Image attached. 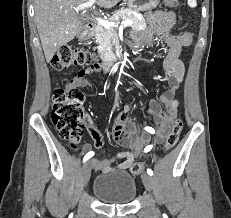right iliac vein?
Returning <instances> with one entry per match:
<instances>
[{"label":"right iliac vein","mask_w":231,"mask_h":218,"mask_svg":"<svg viewBox=\"0 0 231 218\" xmlns=\"http://www.w3.org/2000/svg\"><path fill=\"white\" fill-rule=\"evenodd\" d=\"M91 176V163L87 161L82 167V182L86 186Z\"/></svg>","instance_id":"1"}]
</instances>
